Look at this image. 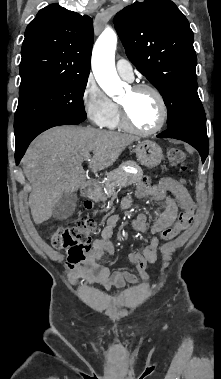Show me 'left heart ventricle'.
<instances>
[{
	"label": "left heart ventricle",
	"instance_id": "obj_1",
	"mask_svg": "<svg viewBox=\"0 0 221 379\" xmlns=\"http://www.w3.org/2000/svg\"><path fill=\"white\" fill-rule=\"evenodd\" d=\"M131 122L140 129H150L158 121L159 106L155 96L148 91L134 93L129 90L120 101Z\"/></svg>",
	"mask_w": 221,
	"mask_h": 379
}]
</instances>
